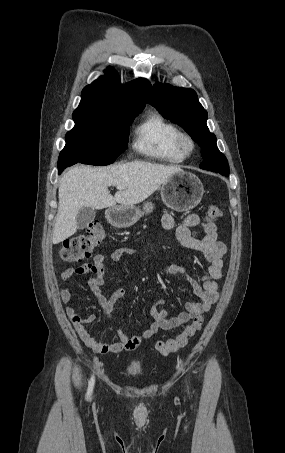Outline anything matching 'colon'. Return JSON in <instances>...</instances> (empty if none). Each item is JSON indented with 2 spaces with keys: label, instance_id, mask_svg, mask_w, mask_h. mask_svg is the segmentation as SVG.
<instances>
[{
  "label": "colon",
  "instance_id": "1",
  "mask_svg": "<svg viewBox=\"0 0 285 453\" xmlns=\"http://www.w3.org/2000/svg\"><path fill=\"white\" fill-rule=\"evenodd\" d=\"M221 214L222 212L217 206H210L207 210V218L209 220H216ZM105 237L106 233L103 225L99 221H94L89 224L84 234L72 237L63 243L59 258L64 263L80 262L90 257L94 248L103 243ZM202 324L203 320L201 317L195 318L176 337L157 342L155 345L157 353L161 356H167L184 348L189 340L201 329Z\"/></svg>",
  "mask_w": 285,
  "mask_h": 453
}]
</instances>
